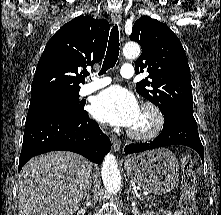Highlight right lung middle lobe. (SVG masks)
I'll list each match as a JSON object with an SVG mask.
<instances>
[{
  "instance_id": "right-lung-middle-lobe-1",
  "label": "right lung middle lobe",
  "mask_w": 221,
  "mask_h": 215,
  "mask_svg": "<svg viewBox=\"0 0 221 215\" xmlns=\"http://www.w3.org/2000/svg\"><path fill=\"white\" fill-rule=\"evenodd\" d=\"M84 113V106L79 101V92L55 94L31 101L27 119L50 114L73 118Z\"/></svg>"
}]
</instances>
